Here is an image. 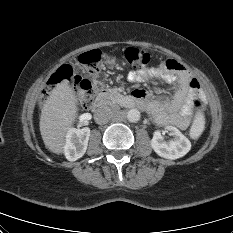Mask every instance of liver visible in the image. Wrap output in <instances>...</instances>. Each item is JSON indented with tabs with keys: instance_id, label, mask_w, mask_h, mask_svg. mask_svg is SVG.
I'll return each mask as SVG.
<instances>
[{
	"instance_id": "obj_1",
	"label": "liver",
	"mask_w": 233,
	"mask_h": 233,
	"mask_svg": "<svg viewBox=\"0 0 233 233\" xmlns=\"http://www.w3.org/2000/svg\"><path fill=\"white\" fill-rule=\"evenodd\" d=\"M77 116V96L64 80L53 89L41 110L40 133L48 150L55 154L64 152L66 135Z\"/></svg>"
}]
</instances>
